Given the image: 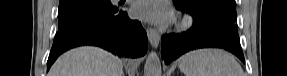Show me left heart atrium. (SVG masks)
<instances>
[{
	"mask_svg": "<svg viewBox=\"0 0 287 76\" xmlns=\"http://www.w3.org/2000/svg\"><path fill=\"white\" fill-rule=\"evenodd\" d=\"M135 17L153 23H165L173 14L164 0H138L132 7Z\"/></svg>",
	"mask_w": 287,
	"mask_h": 76,
	"instance_id": "39dd6f15",
	"label": "left heart atrium"
}]
</instances>
